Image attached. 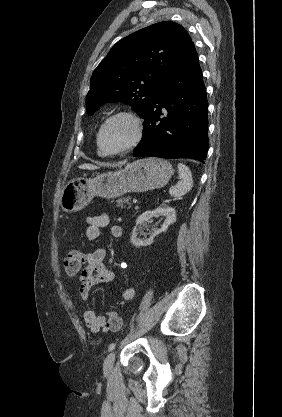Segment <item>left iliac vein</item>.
<instances>
[{
	"instance_id": "obj_1",
	"label": "left iliac vein",
	"mask_w": 282,
	"mask_h": 417,
	"mask_svg": "<svg viewBox=\"0 0 282 417\" xmlns=\"http://www.w3.org/2000/svg\"><path fill=\"white\" fill-rule=\"evenodd\" d=\"M116 352H111L107 355V357L104 360L103 364V371L105 374H109L112 370L114 360H115Z\"/></svg>"
}]
</instances>
